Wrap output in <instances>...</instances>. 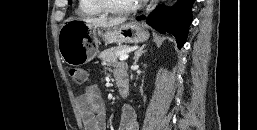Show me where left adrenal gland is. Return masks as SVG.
I'll return each mask as SVG.
<instances>
[{
    "instance_id": "a2214340",
    "label": "left adrenal gland",
    "mask_w": 257,
    "mask_h": 130,
    "mask_svg": "<svg viewBox=\"0 0 257 130\" xmlns=\"http://www.w3.org/2000/svg\"><path fill=\"white\" fill-rule=\"evenodd\" d=\"M145 47H146V45H143L135 51V53H134V63H137L139 58L142 56V54L146 52V50H144Z\"/></svg>"
}]
</instances>
